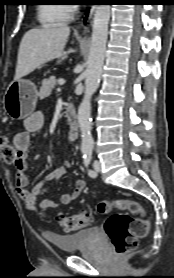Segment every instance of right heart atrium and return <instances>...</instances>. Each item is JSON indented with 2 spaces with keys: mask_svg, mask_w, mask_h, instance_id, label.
<instances>
[{
  "mask_svg": "<svg viewBox=\"0 0 174 278\" xmlns=\"http://www.w3.org/2000/svg\"><path fill=\"white\" fill-rule=\"evenodd\" d=\"M69 7H70V11H71L72 13H74L75 10H76V6H75V5H70Z\"/></svg>",
  "mask_w": 174,
  "mask_h": 278,
  "instance_id": "d8ad5b80",
  "label": "right heart atrium"
}]
</instances>
